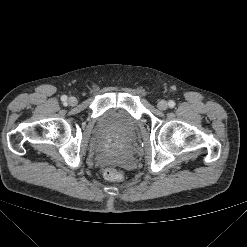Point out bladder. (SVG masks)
Wrapping results in <instances>:
<instances>
[{
	"label": "bladder",
	"mask_w": 247,
	"mask_h": 247,
	"mask_svg": "<svg viewBox=\"0 0 247 247\" xmlns=\"http://www.w3.org/2000/svg\"><path fill=\"white\" fill-rule=\"evenodd\" d=\"M98 129L102 134H115L128 141L135 134L137 123L125 109L112 107L100 115Z\"/></svg>",
	"instance_id": "31cf9c89"
}]
</instances>
